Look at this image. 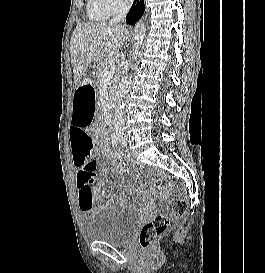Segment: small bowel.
I'll return each instance as SVG.
<instances>
[{"mask_svg":"<svg viewBox=\"0 0 265 273\" xmlns=\"http://www.w3.org/2000/svg\"><path fill=\"white\" fill-rule=\"evenodd\" d=\"M95 91H79L74 95L73 120L70 128V143L72 148V157L76 166V190L79 209L86 219H92L99 210H105L115 204H122L121 197L111 196L100 206L95 203L102 202L106 197V191L103 188L104 181L100 180L98 187L95 182L98 181V169L95 160V148L91 137L87 132L92 123L95 100ZM101 154H109L106 147L100 149ZM116 171L113 166L102 169L98 176L103 177L108 172Z\"/></svg>","mask_w":265,"mask_h":273,"instance_id":"1","label":"small bowel"}]
</instances>
